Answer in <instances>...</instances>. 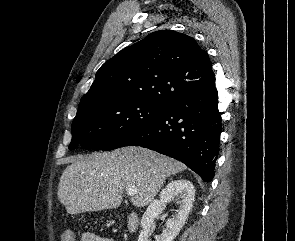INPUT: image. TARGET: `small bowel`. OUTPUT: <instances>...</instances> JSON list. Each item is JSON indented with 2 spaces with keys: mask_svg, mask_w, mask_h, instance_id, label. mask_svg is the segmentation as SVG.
Masks as SVG:
<instances>
[{
  "mask_svg": "<svg viewBox=\"0 0 295 241\" xmlns=\"http://www.w3.org/2000/svg\"><path fill=\"white\" fill-rule=\"evenodd\" d=\"M82 241H113L109 238H101L99 236L93 235L92 233H84L82 235Z\"/></svg>",
  "mask_w": 295,
  "mask_h": 241,
  "instance_id": "small-bowel-1",
  "label": "small bowel"
}]
</instances>
